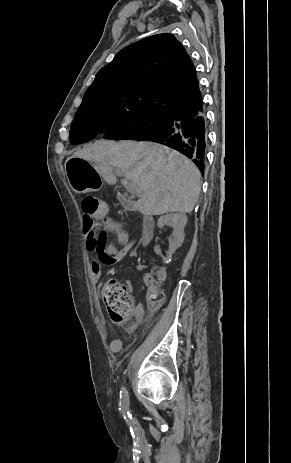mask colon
Segmentation results:
<instances>
[{"label": "colon", "mask_w": 291, "mask_h": 463, "mask_svg": "<svg viewBox=\"0 0 291 463\" xmlns=\"http://www.w3.org/2000/svg\"><path fill=\"white\" fill-rule=\"evenodd\" d=\"M84 221L82 226L86 230L96 229L99 219L105 214L106 206L103 201L96 197H85L81 204ZM154 277L158 282L165 278L163 270L154 272ZM103 300L107 307L110 318L117 323H124L131 317L132 298L126 286L116 280L106 282L102 291ZM164 301L163 291L155 287L150 288L147 293V302L151 309L158 308Z\"/></svg>", "instance_id": "5ec220e1"}]
</instances>
